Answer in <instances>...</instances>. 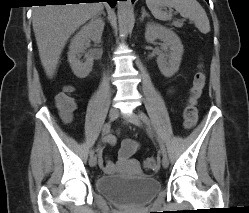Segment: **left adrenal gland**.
<instances>
[{
	"label": "left adrenal gland",
	"mask_w": 249,
	"mask_h": 213,
	"mask_svg": "<svg viewBox=\"0 0 249 213\" xmlns=\"http://www.w3.org/2000/svg\"><path fill=\"white\" fill-rule=\"evenodd\" d=\"M146 16H149V14L146 12L145 8L142 7V16L140 20L143 21Z\"/></svg>",
	"instance_id": "1"
}]
</instances>
